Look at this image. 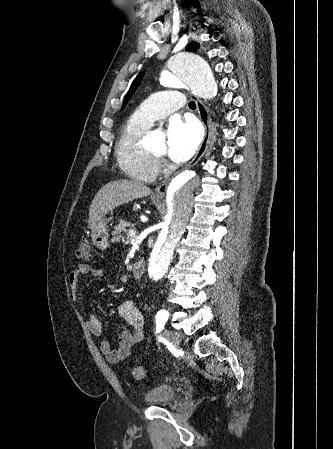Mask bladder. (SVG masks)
Masks as SVG:
<instances>
[{
  "instance_id": "bladder-1",
  "label": "bladder",
  "mask_w": 333,
  "mask_h": 449,
  "mask_svg": "<svg viewBox=\"0 0 333 449\" xmlns=\"http://www.w3.org/2000/svg\"><path fill=\"white\" fill-rule=\"evenodd\" d=\"M178 398V392L176 388L162 384L149 390L144 400L148 404L156 406H166L174 403Z\"/></svg>"
}]
</instances>
